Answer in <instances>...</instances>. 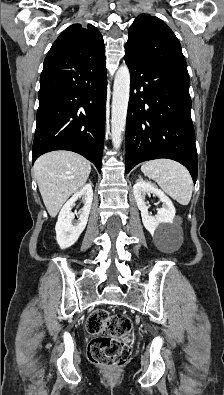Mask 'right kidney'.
I'll return each mask as SVG.
<instances>
[{"label":"right kidney","mask_w":224,"mask_h":395,"mask_svg":"<svg viewBox=\"0 0 224 395\" xmlns=\"http://www.w3.org/2000/svg\"><path fill=\"white\" fill-rule=\"evenodd\" d=\"M80 198H82L84 202V207L82 208L78 222L73 225L72 221L75 215L72 212V208L75 202ZM92 201L93 190L92 184L89 183L77 191L61 209L55 226L56 241L61 249L69 248L78 240L87 225Z\"/></svg>","instance_id":"obj_1"}]
</instances>
